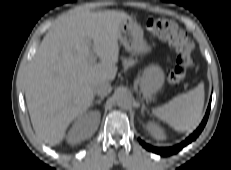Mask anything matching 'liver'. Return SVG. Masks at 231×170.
<instances>
[{"label": "liver", "instance_id": "1", "mask_svg": "<svg viewBox=\"0 0 231 170\" xmlns=\"http://www.w3.org/2000/svg\"><path fill=\"white\" fill-rule=\"evenodd\" d=\"M128 19L125 12H90L78 6L52 25L25 78L32 126L42 141L51 146L61 143L70 123L92 104L95 84L114 80L119 26Z\"/></svg>", "mask_w": 231, "mask_h": 170}]
</instances>
